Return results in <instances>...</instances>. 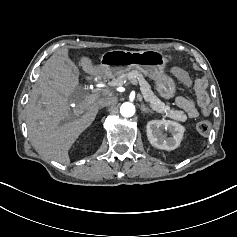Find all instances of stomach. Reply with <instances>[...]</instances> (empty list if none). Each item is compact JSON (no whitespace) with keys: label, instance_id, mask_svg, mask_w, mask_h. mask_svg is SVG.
<instances>
[{"label":"stomach","instance_id":"1","mask_svg":"<svg viewBox=\"0 0 237 237\" xmlns=\"http://www.w3.org/2000/svg\"><path fill=\"white\" fill-rule=\"evenodd\" d=\"M167 62L164 52L157 49L109 50L100 59L106 78L112 79L135 68L153 81L154 89L162 99L171 100L177 94V83L165 71Z\"/></svg>","mask_w":237,"mask_h":237}]
</instances>
